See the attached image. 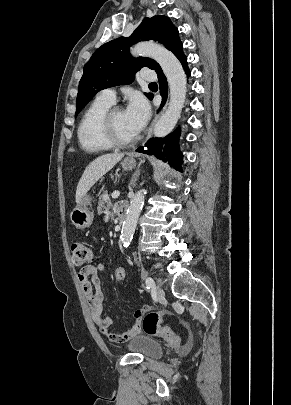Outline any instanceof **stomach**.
<instances>
[{
    "label": "stomach",
    "instance_id": "stomach-1",
    "mask_svg": "<svg viewBox=\"0 0 291 405\" xmlns=\"http://www.w3.org/2000/svg\"><path fill=\"white\" fill-rule=\"evenodd\" d=\"M121 166L124 170H132L136 166V162L133 158H125L121 162ZM91 197L89 195L84 196L77 206L70 214L72 223L79 229L89 227L94 219V214L90 210Z\"/></svg>",
    "mask_w": 291,
    "mask_h": 405
}]
</instances>
